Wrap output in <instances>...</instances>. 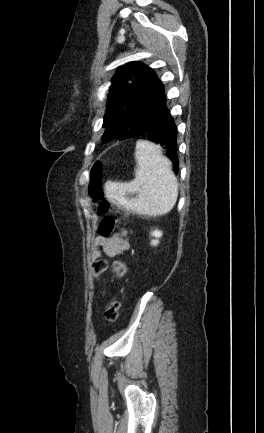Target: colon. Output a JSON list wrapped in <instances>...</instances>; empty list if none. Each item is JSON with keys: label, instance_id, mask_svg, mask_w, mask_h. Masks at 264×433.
Returning a JSON list of instances; mask_svg holds the SVG:
<instances>
[{"label": "colon", "instance_id": "1", "mask_svg": "<svg viewBox=\"0 0 264 433\" xmlns=\"http://www.w3.org/2000/svg\"><path fill=\"white\" fill-rule=\"evenodd\" d=\"M102 169V161H97L93 165L89 182V193L97 203V212L101 215H105V217L100 222L99 231L102 236L108 237L114 232L115 228L120 222V219L118 217L108 214L111 212L119 214L120 210L116 206H113L109 201L103 199ZM109 268H111L120 278H124L127 274V268L125 264L121 261L115 259L109 260L106 258H99L93 262V276L97 277L107 271ZM119 311L120 301L118 299L112 300L105 310V319L109 323H114L118 319Z\"/></svg>", "mask_w": 264, "mask_h": 433}]
</instances>
